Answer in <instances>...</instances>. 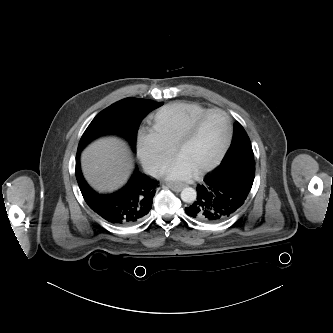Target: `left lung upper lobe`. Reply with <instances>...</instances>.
<instances>
[{
	"label": "left lung upper lobe",
	"instance_id": "obj_1",
	"mask_svg": "<svg viewBox=\"0 0 333 333\" xmlns=\"http://www.w3.org/2000/svg\"><path fill=\"white\" fill-rule=\"evenodd\" d=\"M245 159L254 160L252 146L244 128L239 122H235L232 143L219 166Z\"/></svg>",
	"mask_w": 333,
	"mask_h": 333
}]
</instances>
